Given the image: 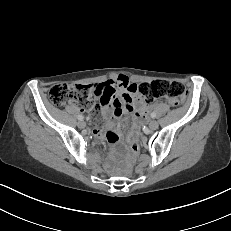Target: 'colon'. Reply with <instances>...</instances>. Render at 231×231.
Returning a JSON list of instances; mask_svg holds the SVG:
<instances>
[{"instance_id": "colon-1", "label": "colon", "mask_w": 231, "mask_h": 231, "mask_svg": "<svg viewBox=\"0 0 231 231\" xmlns=\"http://www.w3.org/2000/svg\"><path fill=\"white\" fill-rule=\"evenodd\" d=\"M138 91L145 103L167 98L175 106L183 100L186 94V89L181 83L168 80H152L142 83L138 86ZM48 99L56 106L66 103L86 105L91 109L93 123L99 120V107L93 102L91 85L57 84L49 90ZM129 147L132 158L137 160L141 152L140 143L132 138Z\"/></svg>"}]
</instances>
